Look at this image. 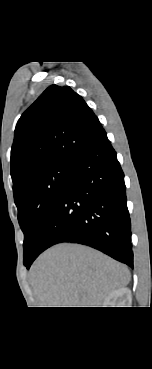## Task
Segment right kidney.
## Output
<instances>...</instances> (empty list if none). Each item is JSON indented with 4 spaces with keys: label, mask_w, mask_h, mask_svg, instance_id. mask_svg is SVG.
Instances as JSON below:
<instances>
[{
    "label": "right kidney",
    "mask_w": 152,
    "mask_h": 369,
    "mask_svg": "<svg viewBox=\"0 0 152 369\" xmlns=\"http://www.w3.org/2000/svg\"><path fill=\"white\" fill-rule=\"evenodd\" d=\"M131 299V291L129 288L123 287L113 291L104 300V307H125L126 303Z\"/></svg>",
    "instance_id": "ca27d5eb"
}]
</instances>
